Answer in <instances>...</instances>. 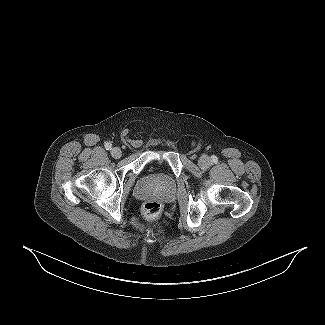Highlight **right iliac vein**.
I'll use <instances>...</instances> for the list:
<instances>
[{"instance_id": "right-iliac-vein-1", "label": "right iliac vein", "mask_w": 325, "mask_h": 325, "mask_svg": "<svg viewBox=\"0 0 325 325\" xmlns=\"http://www.w3.org/2000/svg\"><path fill=\"white\" fill-rule=\"evenodd\" d=\"M111 155H112V157H114V158H120L121 157V155H122V152H121V149L120 148H118V147H114V148H112V150H111Z\"/></svg>"}]
</instances>
